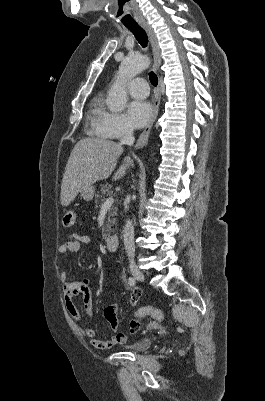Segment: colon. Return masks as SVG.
<instances>
[{"instance_id": "1", "label": "colon", "mask_w": 265, "mask_h": 401, "mask_svg": "<svg viewBox=\"0 0 265 401\" xmlns=\"http://www.w3.org/2000/svg\"><path fill=\"white\" fill-rule=\"evenodd\" d=\"M76 220V214L74 211L69 210L66 211L63 216V224L67 227L73 226ZM142 317H150L155 321H162L164 319V314L155 308L152 307H141L135 311L133 318L130 321V332L136 333L139 329V318ZM154 326V323L151 324Z\"/></svg>"}]
</instances>
